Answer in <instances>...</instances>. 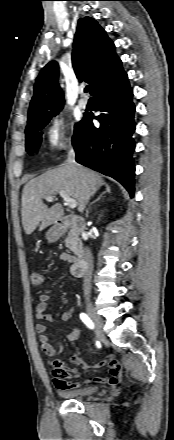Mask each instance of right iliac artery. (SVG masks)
Segmentation results:
<instances>
[{"mask_svg": "<svg viewBox=\"0 0 174 440\" xmlns=\"http://www.w3.org/2000/svg\"><path fill=\"white\" fill-rule=\"evenodd\" d=\"M80 318L86 324L87 327H89V328H93L94 327V324H93L92 320L85 313H81L80 314Z\"/></svg>", "mask_w": 174, "mask_h": 440, "instance_id": "82829eb1", "label": "right iliac artery"}]
</instances>
